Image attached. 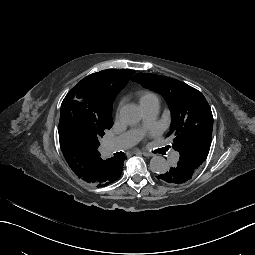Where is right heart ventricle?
<instances>
[{
    "mask_svg": "<svg viewBox=\"0 0 255 255\" xmlns=\"http://www.w3.org/2000/svg\"><path fill=\"white\" fill-rule=\"evenodd\" d=\"M154 102L159 103V98H158L157 94L154 93L153 91L143 92L139 99V103H140L141 107L144 105H147V104L154 103Z\"/></svg>",
    "mask_w": 255,
    "mask_h": 255,
    "instance_id": "1",
    "label": "right heart ventricle"
}]
</instances>
